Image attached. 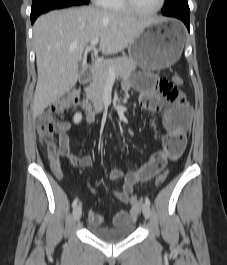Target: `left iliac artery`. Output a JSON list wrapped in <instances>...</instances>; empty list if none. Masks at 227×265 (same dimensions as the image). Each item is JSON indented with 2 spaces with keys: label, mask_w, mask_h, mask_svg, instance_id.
Returning <instances> with one entry per match:
<instances>
[{
  "label": "left iliac artery",
  "mask_w": 227,
  "mask_h": 265,
  "mask_svg": "<svg viewBox=\"0 0 227 265\" xmlns=\"http://www.w3.org/2000/svg\"><path fill=\"white\" fill-rule=\"evenodd\" d=\"M145 203H146L147 205H150V204H151V202H150V200H149L148 197H145Z\"/></svg>",
  "instance_id": "obj_1"
}]
</instances>
